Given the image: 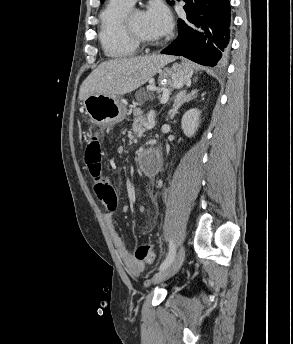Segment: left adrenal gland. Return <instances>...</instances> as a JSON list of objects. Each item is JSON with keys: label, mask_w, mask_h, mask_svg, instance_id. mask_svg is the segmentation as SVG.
Returning a JSON list of instances; mask_svg holds the SVG:
<instances>
[{"label": "left adrenal gland", "mask_w": 293, "mask_h": 344, "mask_svg": "<svg viewBox=\"0 0 293 344\" xmlns=\"http://www.w3.org/2000/svg\"><path fill=\"white\" fill-rule=\"evenodd\" d=\"M197 90H192L190 93H187V91H181L179 92L175 98L174 103L170 111L168 112L169 119H173L176 113L178 112V109L185 103L189 102L192 99H194L197 95Z\"/></svg>", "instance_id": "a2214340"}]
</instances>
